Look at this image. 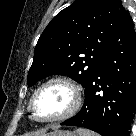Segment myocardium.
Masks as SVG:
<instances>
[{"label":"myocardium","instance_id":"1","mask_svg":"<svg viewBox=\"0 0 136 136\" xmlns=\"http://www.w3.org/2000/svg\"><path fill=\"white\" fill-rule=\"evenodd\" d=\"M53 84L63 85L64 87H66L69 90V92L71 94V104L64 113H62L56 117L41 119V118L37 117L36 114L34 113L35 99L42 90H44L46 87L53 85ZM81 103H82L81 90H80L79 86L74 81H72L71 79L66 78V77H53V78L48 79L44 83H42L34 91V93L32 94V96L30 98L29 104H28V110L30 112L31 118L33 120H35L36 122L56 123V122H61L66 119H69L70 117L75 115L77 113V111L79 110Z\"/></svg>","mask_w":136,"mask_h":136}]
</instances>
